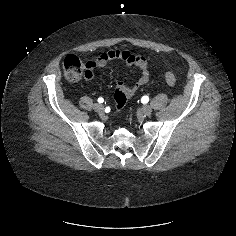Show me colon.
I'll return each mask as SVG.
<instances>
[{"label":"colon","mask_w":236,"mask_h":236,"mask_svg":"<svg viewBox=\"0 0 236 236\" xmlns=\"http://www.w3.org/2000/svg\"><path fill=\"white\" fill-rule=\"evenodd\" d=\"M63 72L66 79L71 82H78L80 80L92 77V71L88 67L87 63H84L77 56L72 54L64 58ZM165 81L168 86L173 87L176 82L174 74L171 72L166 73ZM115 101L119 106L122 107L125 105L126 97L122 92L117 91L115 93Z\"/></svg>","instance_id":"1"}]
</instances>
